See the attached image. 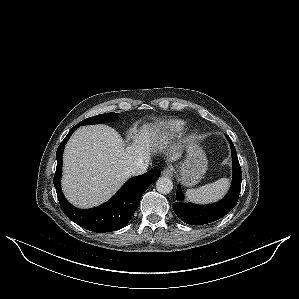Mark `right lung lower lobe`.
I'll return each instance as SVG.
<instances>
[{"label": "right lung lower lobe", "mask_w": 299, "mask_h": 299, "mask_svg": "<svg viewBox=\"0 0 299 299\" xmlns=\"http://www.w3.org/2000/svg\"><path fill=\"white\" fill-rule=\"evenodd\" d=\"M75 125L57 149V167L54 175V186L64 214L77 225L98 233L112 232L127 225L140 204L143 193L161 174L158 169L130 179L108 202L91 209H78L72 206L61 191L62 155L65 144L78 128Z\"/></svg>", "instance_id": "right-lung-lower-lobe-1"}]
</instances>
